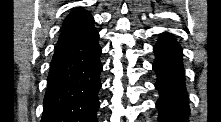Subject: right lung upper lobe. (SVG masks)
<instances>
[{"label": "right lung upper lobe", "mask_w": 221, "mask_h": 122, "mask_svg": "<svg viewBox=\"0 0 221 122\" xmlns=\"http://www.w3.org/2000/svg\"><path fill=\"white\" fill-rule=\"evenodd\" d=\"M92 20L93 17L91 14L82 8L71 12L64 20L62 32L59 38Z\"/></svg>", "instance_id": "obj_1"}]
</instances>
